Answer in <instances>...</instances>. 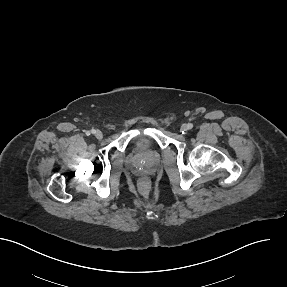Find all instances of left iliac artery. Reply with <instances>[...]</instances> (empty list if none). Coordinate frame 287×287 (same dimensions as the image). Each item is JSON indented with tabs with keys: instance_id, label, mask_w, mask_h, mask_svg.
Wrapping results in <instances>:
<instances>
[{
	"instance_id": "obj_1",
	"label": "left iliac artery",
	"mask_w": 287,
	"mask_h": 287,
	"mask_svg": "<svg viewBox=\"0 0 287 287\" xmlns=\"http://www.w3.org/2000/svg\"><path fill=\"white\" fill-rule=\"evenodd\" d=\"M188 129H192L193 128V124L192 123H188Z\"/></svg>"
}]
</instances>
